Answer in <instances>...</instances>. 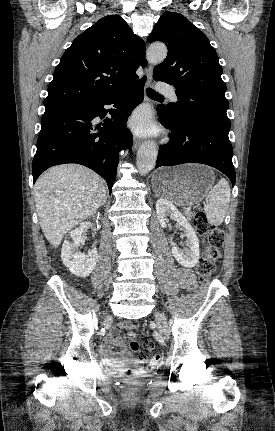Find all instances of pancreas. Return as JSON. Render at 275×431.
I'll return each mask as SVG.
<instances>
[{
    "instance_id": "cf45deb5",
    "label": "pancreas",
    "mask_w": 275,
    "mask_h": 431,
    "mask_svg": "<svg viewBox=\"0 0 275 431\" xmlns=\"http://www.w3.org/2000/svg\"><path fill=\"white\" fill-rule=\"evenodd\" d=\"M186 216L188 220H191L194 215L192 213H187Z\"/></svg>"
}]
</instances>
